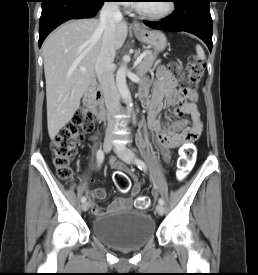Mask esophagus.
<instances>
[{"label":"esophagus","instance_id":"1","mask_svg":"<svg viewBox=\"0 0 258 275\" xmlns=\"http://www.w3.org/2000/svg\"><path fill=\"white\" fill-rule=\"evenodd\" d=\"M131 28L133 30H141L143 28V26L136 20H134L132 23H131Z\"/></svg>","mask_w":258,"mask_h":275}]
</instances>
